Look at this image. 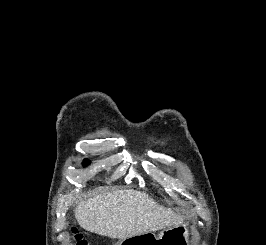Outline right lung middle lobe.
Wrapping results in <instances>:
<instances>
[{
    "label": "right lung middle lobe",
    "mask_w": 266,
    "mask_h": 245,
    "mask_svg": "<svg viewBox=\"0 0 266 245\" xmlns=\"http://www.w3.org/2000/svg\"><path fill=\"white\" fill-rule=\"evenodd\" d=\"M84 163H85V164H89V161H88V160H84Z\"/></svg>",
    "instance_id": "right-lung-middle-lobe-1"
}]
</instances>
